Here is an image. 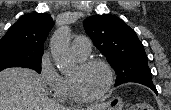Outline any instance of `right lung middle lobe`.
<instances>
[{
    "label": "right lung middle lobe",
    "mask_w": 171,
    "mask_h": 110,
    "mask_svg": "<svg viewBox=\"0 0 171 110\" xmlns=\"http://www.w3.org/2000/svg\"><path fill=\"white\" fill-rule=\"evenodd\" d=\"M42 55V52H33L20 46L1 44L0 71L9 67H27L40 73Z\"/></svg>",
    "instance_id": "right-lung-middle-lobe-1"
}]
</instances>
